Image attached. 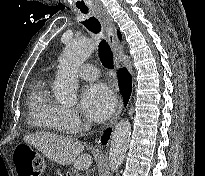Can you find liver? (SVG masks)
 <instances>
[{"label":"liver","mask_w":205,"mask_h":176,"mask_svg":"<svg viewBox=\"0 0 205 176\" xmlns=\"http://www.w3.org/2000/svg\"><path fill=\"white\" fill-rule=\"evenodd\" d=\"M23 140L60 165L73 164L77 170H87L92 164V157L82 153L83 145L71 137L52 133H35L24 136Z\"/></svg>","instance_id":"liver-1"}]
</instances>
